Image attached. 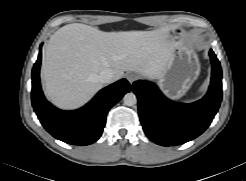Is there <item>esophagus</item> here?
I'll use <instances>...</instances> for the list:
<instances>
[{
	"instance_id": "1",
	"label": "esophagus",
	"mask_w": 246,
	"mask_h": 181,
	"mask_svg": "<svg viewBox=\"0 0 246 181\" xmlns=\"http://www.w3.org/2000/svg\"><path fill=\"white\" fill-rule=\"evenodd\" d=\"M138 78L137 74L135 73H130L127 75V80L129 81V83L132 85L134 81H136Z\"/></svg>"
}]
</instances>
